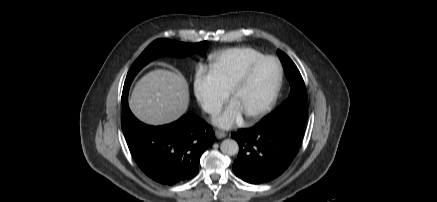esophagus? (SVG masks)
<instances>
[{"instance_id": "obj_1", "label": "esophagus", "mask_w": 437, "mask_h": 202, "mask_svg": "<svg viewBox=\"0 0 437 202\" xmlns=\"http://www.w3.org/2000/svg\"><path fill=\"white\" fill-rule=\"evenodd\" d=\"M215 135H216V138H218V139H222V138L227 136V134L225 132L220 131V130H216Z\"/></svg>"}]
</instances>
